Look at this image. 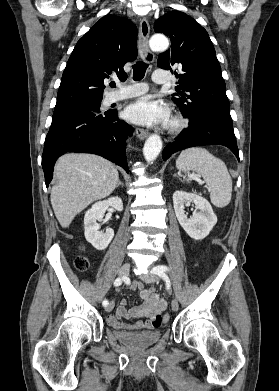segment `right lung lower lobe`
Masks as SVG:
<instances>
[{"mask_svg":"<svg viewBox=\"0 0 279 391\" xmlns=\"http://www.w3.org/2000/svg\"><path fill=\"white\" fill-rule=\"evenodd\" d=\"M132 128L118 119L117 111H72L53 114L42 155L45 183L53 178L57 158L66 152L100 155L129 172L125 141Z\"/></svg>","mask_w":279,"mask_h":391,"instance_id":"right-lung-lower-lobe-1","label":"right lung lower lobe"}]
</instances>
